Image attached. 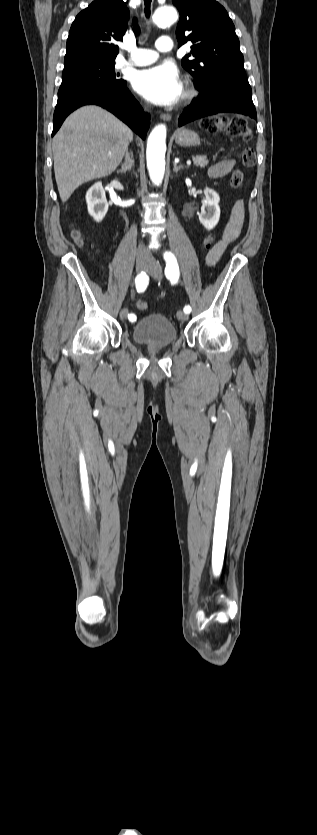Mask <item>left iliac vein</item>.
Masks as SVG:
<instances>
[{
    "label": "left iliac vein",
    "mask_w": 317,
    "mask_h": 835,
    "mask_svg": "<svg viewBox=\"0 0 317 835\" xmlns=\"http://www.w3.org/2000/svg\"><path fill=\"white\" fill-rule=\"evenodd\" d=\"M146 271L156 280H160L162 278V268L160 263L153 257L149 259V264L146 268ZM177 318L180 321H186L188 319V314L183 311L177 312Z\"/></svg>",
    "instance_id": "obj_1"
}]
</instances>
